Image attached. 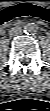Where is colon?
Returning a JSON list of instances; mask_svg holds the SVG:
<instances>
[{"instance_id": "1", "label": "colon", "mask_w": 50, "mask_h": 111, "mask_svg": "<svg viewBox=\"0 0 50 111\" xmlns=\"http://www.w3.org/2000/svg\"><path fill=\"white\" fill-rule=\"evenodd\" d=\"M33 17L44 21H50V10L30 2L4 8L0 13V24L6 26L15 19Z\"/></svg>"}]
</instances>
